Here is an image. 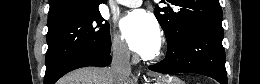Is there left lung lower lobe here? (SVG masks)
I'll list each match as a JSON object with an SVG mask.
<instances>
[{
  "mask_svg": "<svg viewBox=\"0 0 260 84\" xmlns=\"http://www.w3.org/2000/svg\"><path fill=\"white\" fill-rule=\"evenodd\" d=\"M222 39L220 21L192 23L168 45L166 58L149 69L159 73H197L227 84Z\"/></svg>",
  "mask_w": 260,
  "mask_h": 84,
  "instance_id": "left-lung-lower-lobe-1",
  "label": "left lung lower lobe"
}]
</instances>
